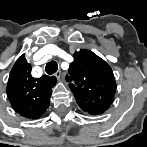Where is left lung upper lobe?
I'll return each mask as SVG.
<instances>
[{"label":"left lung upper lobe","mask_w":147,"mask_h":147,"mask_svg":"<svg viewBox=\"0 0 147 147\" xmlns=\"http://www.w3.org/2000/svg\"><path fill=\"white\" fill-rule=\"evenodd\" d=\"M70 83L79 107L91 114H103L113 103L116 82L111 67L89 50L74 53V61L69 66Z\"/></svg>","instance_id":"left-lung-upper-lobe-1"}]
</instances>
